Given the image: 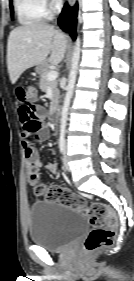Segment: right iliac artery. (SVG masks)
<instances>
[{"label": "right iliac artery", "instance_id": "82829eb1", "mask_svg": "<svg viewBox=\"0 0 134 281\" xmlns=\"http://www.w3.org/2000/svg\"><path fill=\"white\" fill-rule=\"evenodd\" d=\"M64 146H65V140L63 138H60L59 139V149H60L61 154L64 153Z\"/></svg>", "mask_w": 134, "mask_h": 281}]
</instances>
